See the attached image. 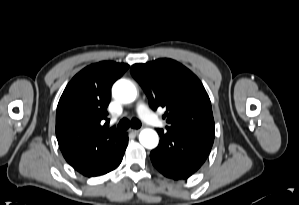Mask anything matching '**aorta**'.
I'll list each match as a JSON object with an SVG mask.
<instances>
[{
    "mask_svg": "<svg viewBox=\"0 0 299 205\" xmlns=\"http://www.w3.org/2000/svg\"><path fill=\"white\" fill-rule=\"evenodd\" d=\"M114 97L122 103H131L136 99L137 90L128 80H118L112 88ZM140 143L147 149H153L158 145L159 137L153 129H143L139 134Z\"/></svg>",
    "mask_w": 299,
    "mask_h": 205,
    "instance_id": "obj_1",
    "label": "aorta"
}]
</instances>
